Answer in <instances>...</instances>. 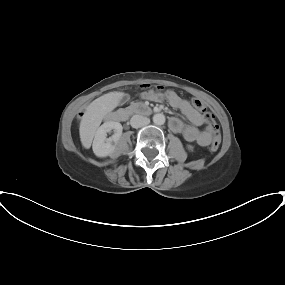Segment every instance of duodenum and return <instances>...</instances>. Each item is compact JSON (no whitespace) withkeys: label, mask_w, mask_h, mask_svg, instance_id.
I'll list each match as a JSON object with an SVG mask.
<instances>
[{"label":"duodenum","mask_w":285,"mask_h":285,"mask_svg":"<svg viewBox=\"0 0 285 285\" xmlns=\"http://www.w3.org/2000/svg\"><path fill=\"white\" fill-rule=\"evenodd\" d=\"M151 109L144 106V105H138L131 107L128 111H121L114 115V119L117 121H123L128 114H150Z\"/></svg>","instance_id":"obj_1"}]
</instances>
